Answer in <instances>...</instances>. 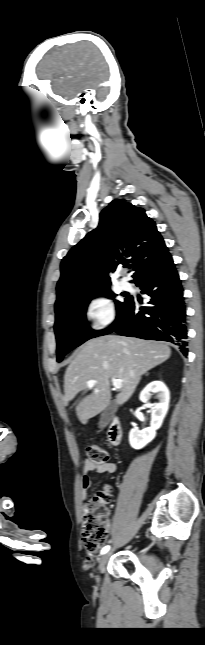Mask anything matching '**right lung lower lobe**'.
<instances>
[{
    "mask_svg": "<svg viewBox=\"0 0 205 645\" xmlns=\"http://www.w3.org/2000/svg\"><path fill=\"white\" fill-rule=\"evenodd\" d=\"M143 294L151 297L148 305L135 312V300L129 298L115 323L101 335H120L147 340H163L188 353L186 305L183 288L171 255L134 278ZM100 335V336H101Z\"/></svg>",
    "mask_w": 205,
    "mask_h": 645,
    "instance_id": "right-lung-lower-lobe-1",
    "label": "right lung lower lobe"
}]
</instances>
